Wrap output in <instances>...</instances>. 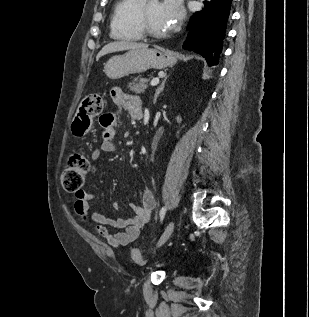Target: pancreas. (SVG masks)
<instances>
[{"label": "pancreas", "instance_id": "pancreas-1", "mask_svg": "<svg viewBox=\"0 0 309 317\" xmlns=\"http://www.w3.org/2000/svg\"><path fill=\"white\" fill-rule=\"evenodd\" d=\"M149 79L146 78H135L132 80V82L129 83L128 88L130 91L140 94L145 91L148 87Z\"/></svg>", "mask_w": 309, "mask_h": 317}]
</instances>
